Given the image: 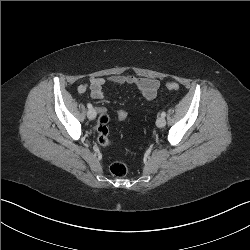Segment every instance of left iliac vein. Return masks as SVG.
Here are the masks:
<instances>
[{
	"instance_id": "obj_1",
	"label": "left iliac vein",
	"mask_w": 250,
	"mask_h": 250,
	"mask_svg": "<svg viewBox=\"0 0 250 250\" xmlns=\"http://www.w3.org/2000/svg\"><path fill=\"white\" fill-rule=\"evenodd\" d=\"M166 124V120L164 117H159L156 121V125L159 127V128H162L164 127Z\"/></svg>"
}]
</instances>
